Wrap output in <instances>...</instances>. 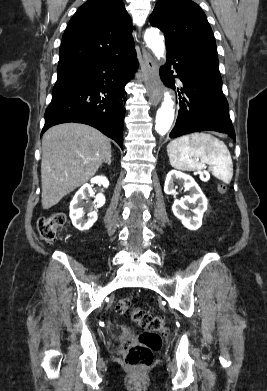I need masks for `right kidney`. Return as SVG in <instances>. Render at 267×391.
Segmentation results:
<instances>
[{
	"mask_svg": "<svg viewBox=\"0 0 267 391\" xmlns=\"http://www.w3.org/2000/svg\"><path fill=\"white\" fill-rule=\"evenodd\" d=\"M92 184L102 185L104 188L109 186V181L106 177L96 176L91 179ZM94 194L90 184L83 185L73 197V200L70 203V218L73 225L80 231H86L97 220V212L95 211L98 208H101L105 204V196L102 193L97 194L94 201V211H91L87 214L88 219H84L83 213V200L87 196H92Z\"/></svg>",
	"mask_w": 267,
	"mask_h": 391,
	"instance_id": "obj_1",
	"label": "right kidney"
}]
</instances>
